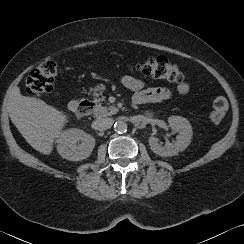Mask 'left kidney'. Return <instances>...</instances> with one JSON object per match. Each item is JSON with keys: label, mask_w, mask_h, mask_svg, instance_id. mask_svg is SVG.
Returning <instances> with one entry per match:
<instances>
[{"label": "left kidney", "mask_w": 244, "mask_h": 244, "mask_svg": "<svg viewBox=\"0 0 244 244\" xmlns=\"http://www.w3.org/2000/svg\"><path fill=\"white\" fill-rule=\"evenodd\" d=\"M168 124L177 135L176 139L172 143H167L162 146L159 143V139L155 136H150L148 142L150 149L157 155L162 157H170L184 151L189 144L193 136L192 126L190 122L181 116H170L168 118Z\"/></svg>", "instance_id": "1"}]
</instances>
